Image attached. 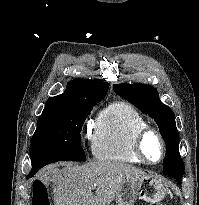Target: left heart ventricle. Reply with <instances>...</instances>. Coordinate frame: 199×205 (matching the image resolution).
<instances>
[{
	"mask_svg": "<svg viewBox=\"0 0 199 205\" xmlns=\"http://www.w3.org/2000/svg\"><path fill=\"white\" fill-rule=\"evenodd\" d=\"M144 149L151 161H158L161 156V146L154 135H149L144 142Z\"/></svg>",
	"mask_w": 199,
	"mask_h": 205,
	"instance_id": "obj_1",
	"label": "left heart ventricle"
}]
</instances>
